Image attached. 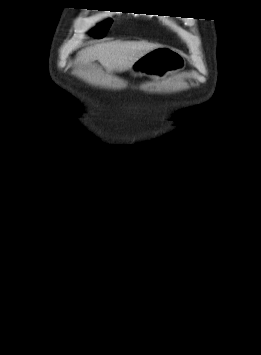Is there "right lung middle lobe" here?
<instances>
[{
	"label": "right lung middle lobe",
	"instance_id": "1",
	"mask_svg": "<svg viewBox=\"0 0 261 355\" xmlns=\"http://www.w3.org/2000/svg\"><path fill=\"white\" fill-rule=\"evenodd\" d=\"M111 23H112V21L109 20L105 24H100L99 27H98V33H95L94 37L98 38V39L103 38L106 35Z\"/></svg>",
	"mask_w": 261,
	"mask_h": 355
}]
</instances>
